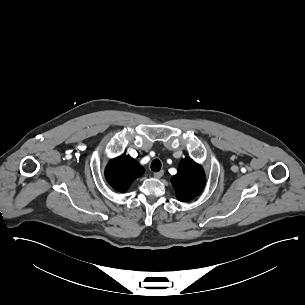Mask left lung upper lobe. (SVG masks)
I'll list each match as a JSON object with an SVG mask.
<instances>
[{
  "instance_id": "obj_1",
  "label": "left lung upper lobe",
  "mask_w": 305,
  "mask_h": 305,
  "mask_svg": "<svg viewBox=\"0 0 305 305\" xmlns=\"http://www.w3.org/2000/svg\"><path fill=\"white\" fill-rule=\"evenodd\" d=\"M206 177L201 165L191 159H183L171 183L180 201H189L199 195L205 187Z\"/></svg>"
}]
</instances>
